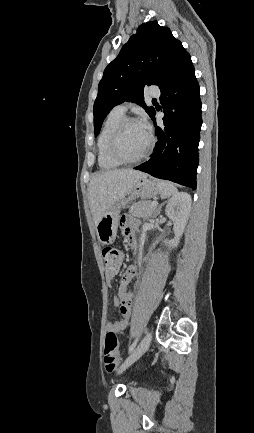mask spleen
Returning <instances> with one entry per match:
<instances>
[{
    "label": "spleen",
    "instance_id": "3e777b00",
    "mask_svg": "<svg viewBox=\"0 0 254 433\" xmlns=\"http://www.w3.org/2000/svg\"><path fill=\"white\" fill-rule=\"evenodd\" d=\"M162 197L167 198L177 193V188L168 181H158L157 183Z\"/></svg>",
    "mask_w": 254,
    "mask_h": 433
}]
</instances>
